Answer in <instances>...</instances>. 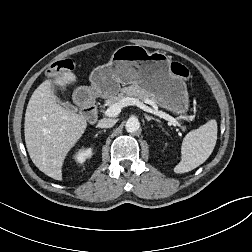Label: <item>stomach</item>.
I'll return each instance as SVG.
<instances>
[{
	"mask_svg": "<svg viewBox=\"0 0 252 252\" xmlns=\"http://www.w3.org/2000/svg\"><path fill=\"white\" fill-rule=\"evenodd\" d=\"M91 88L79 87L78 92H92L109 98L120 91V85L134 84L152 95L155 103L182 117L189 110L185 81L170 72L168 56L159 51L148 52L140 45H125L114 51L107 64L90 74Z\"/></svg>",
	"mask_w": 252,
	"mask_h": 252,
	"instance_id": "obj_1",
	"label": "stomach"
}]
</instances>
